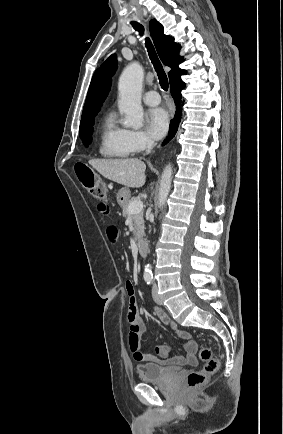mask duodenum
<instances>
[{
	"label": "duodenum",
	"instance_id": "duodenum-1",
	"mask_svg": "<svg viewBox=\"0 0 283 434\" xmlns=\"http://www.w3.org/2000/svg\"><path fill=\"white\" fill-rule=\"evenodd\" d=\"M137 249L141 256H146L147 254V245L146 242L142 239L137 241Z\"/></svg>",
	"mask_w": 283,
	"mask_h": 434
}]
</instances>
